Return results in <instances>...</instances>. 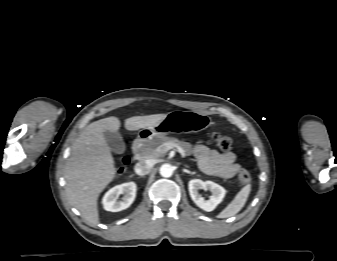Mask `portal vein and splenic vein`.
I'll use <instances>...</instances> for the list:
<instances>
[{"label": "portal vein and splenic vein", "mask_w": 337, "mask_h": 261, "mask_svg": "<svg viewBox=\"0 0 337 261\" xmlns=\"http://www.w3.org/2000/svg\"><path fill=\"white\" fill-rule=\"evenodd\" d=\"M162 147L164 148V150L167 152V151H169L170 149H172V148H176L177 149V151L181 154V156L184 158L185 156H186V154H185V151L183 150V148L182 147H180V146H178L177 144H174V143H164L163 145H162Z\"/></svg>", "instance_id": "18ae733b"}]
</instances>
